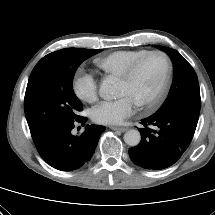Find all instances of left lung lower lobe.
Here are the masks:
<instances>
[{"label":"left lung lower lobe","mask_w":215,"mask_h":215,"mask_svg":"<svg viewBox=\"0 0 215 215\" xmlns=\"http://www.w3.org/2000/svg\"><path fill=\"white\" fill-rule=\"evenodd\" d=\"M196 120L181 113L153 114L142 119L141 142L130 148L131 160L144 169L159 170L173 165L188 148Z\"/></svg>","instance_id":"1"}]
</instances>
